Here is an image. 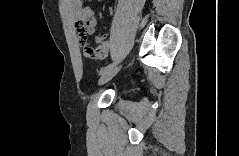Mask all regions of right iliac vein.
Instances as JSON below:
<instances>
[{
	"label": "right iliac vein",
	"instance_id": "63e3f726",
	"mask_svg": "<svg viewBox=\"0 0 239 156\" xmlns=\"http://www.w3.org/2000/svg\"><path fill=\"white\" fill-rule=\"evenodd\" d=\"M121 66L114 65L110 69H108L105 73H103L98 81V85H103L110 81L120 70Z\"/></svg>",
	"mask_w": 239,
	"mask_h": 156
}]
</instances>
